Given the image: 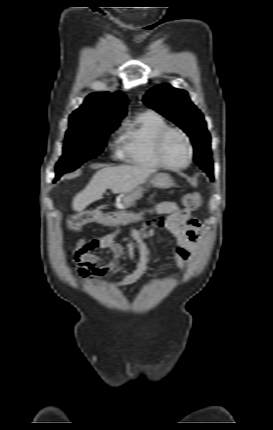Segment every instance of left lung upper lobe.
<instances>
[{"label": "left lung upper lobe", "instance_id": "left-lung-upper-lobe-1", "mask_svg": "<svg viewBox=\"0 0 273 430\" xmlns=\"http://www.w3.org/2000/svg\"><path fill=\"white\" fill-rule=\"evenodd\" d=\"M143 102L182 128L194 146V161L199 165L212 163L210 135L199 109L186 91L168 84L156 86L143 97Z\"/></svg>", "mask_w": 273, "mask_h": 430}]
</instances>
